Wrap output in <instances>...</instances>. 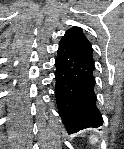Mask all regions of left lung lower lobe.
<instances>
[{
  "label": "left lung lower lobe",
  "instance_id": "left-lung-lower-lobe-1",
  "mask_svg": "<svg viewBox=\"0 0 124 149\" xmlns=\"http://www.w3.org/2000/svg\"><path fill=\"white\" fill-rule=\"evenodd\" d=\"M55 66L57 106L68 133L103 125L94 92V60L63 37Z\"/></svg>",
  "mask_w": 124,
  "mask_h": 149
}]
</instances>
